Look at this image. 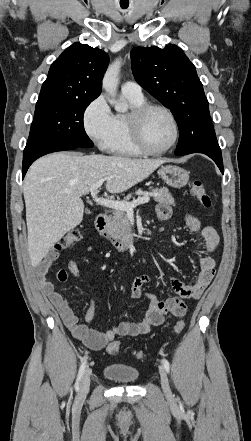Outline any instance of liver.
<instances>
[{"label":"liver","instance_id":"6515ba94","mask_svg":"<svg viewBox=\"0 0 251 441\" xmlns=\"http://www.w3.org/2000/svg\"><path fill=\"white\" fill-rule=\"evenodd\" d=\"M167 161L65 152L35 161L23 184L31 265L38 266L54 244L82 222L81 197L93 184L104 179L108 192L121 193Z\"/></svg>","mask_w":251,"mask_h":441}]
</instances>
